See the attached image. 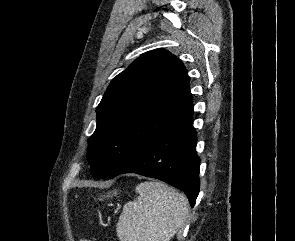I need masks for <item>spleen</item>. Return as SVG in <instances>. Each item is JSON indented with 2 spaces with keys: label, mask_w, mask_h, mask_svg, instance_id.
I'll return each mask as SVG.
<instances>
[{
  "label": "spleen",
  "mask_w": 295,
  "mask_h": 241,
  "mask_svg": "<svg viewBox=\"0 0 295 241\" xmlns=\"http://www.w3.org/2000/svg\"><path fill=\"white\" fill-rule=\"evenodd\" d=\"M135 201L126 203L117 223L120 241H169L188 214L186 198L162 182L136 186Z\"/></svg>",
  "instance_id": "3e777b00"
}]
</instances>
